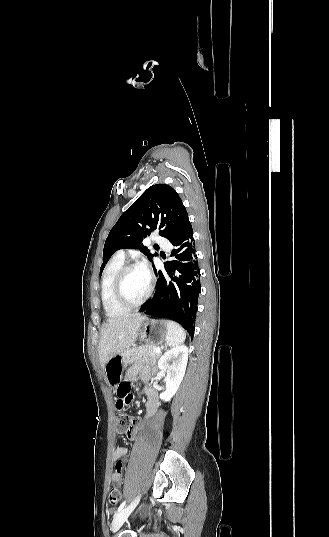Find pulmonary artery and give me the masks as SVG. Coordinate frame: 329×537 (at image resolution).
Returning <instances> with one entry per match:
<instances>
[{
  "mask_svg": "<svg viewBox=\"0 0 329 537\" xmlns=\"http://www.w3.org/2000/svg\"><path fill=\"white\" fill-rule=\"evenodd\" d=\"M154 242L161 245L163 248L165 249H169L170 248V243L167 239L163 238V237H160V236H154L153 238ZM116 256L119 257V258H122L124 259L125 258V253L123 250H119L117 253H116Z\"/></svg>",
  "mask_w": 329,
  "mask_h": 537,
  "instance_id": "e3ab8cb5",
  "label": "pulmonary artery"
}]
</instances>
